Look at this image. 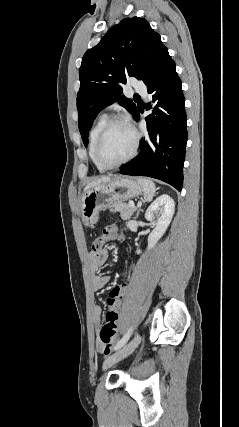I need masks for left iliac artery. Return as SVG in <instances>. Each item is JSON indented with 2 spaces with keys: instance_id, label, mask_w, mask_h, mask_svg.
Returning <instances> with one entry per match:
<instances>
[{
  "instance_id": "44dca946",
  "label": "left iliac artery",
  "mask_w": 239,
  "mask_h": 427,
  "mask_svg": "<svg viewBox=\"0 0 239 427\" xmlns=\"http://www.w3.org/2000/svg\"><path fill=\"white\" fill-rule=\"evenodd\" d=\"M131 332H132V328H130L128 331H127V333L122 337V339L116 344V346H115V350H118V349H120L122 346H124L125 344H126V342L129 340V338H130V335H131Z\"/></svg>"
}]
</instances>
